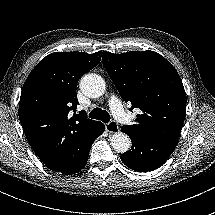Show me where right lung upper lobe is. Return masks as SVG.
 <instances>
[{
  "mask_svg": "<svg viewBox=\"0 0 215 215\" xmlns=\"http://www.w3.org/2000/svg\"><path fill=\"white\" fill-rule=\"evenodd\" d=\"M101 60V52H55L43 58L26 79L19 102L25 136L40 160L50 168L63 165L71 138L94 120L76 110L79 78Z\"/></svg>",
  "mask_w": 215,
  "mask_h": 215,
  "instance_id": "1",
  "label": "right lung upper lobe"
}]
</instances>
